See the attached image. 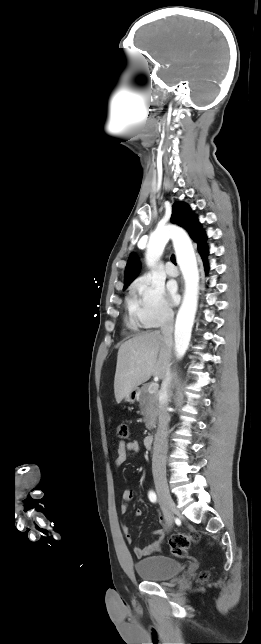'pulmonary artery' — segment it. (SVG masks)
I'll use <instances>...</instances> for the list:
<instances>
[{
    "label": "pulmonary artery",
    "mask_w": 261,
    "mask_h": 644,
    "mask_svg": "<svg viewBox=\"0 0 261 644\" xmlns=\"http://www.w3.org/2000/svg\"><path fill=\"white\" fill-rule=\"evenodd\" d=\"M166 273L171 277H176L178 275V270L172 263H168L166 265Z\"/></svg>",
    "instance_id": "e3ab8cb5"
}]
</instances>
